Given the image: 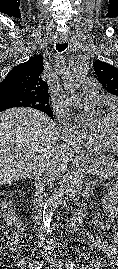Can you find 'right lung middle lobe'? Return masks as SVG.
Wrapping results in <instances>:
<instances>
[{
	"label": "right lung middle lobe",
	"mask_w": 118,
	"mask_h": 269,
	"mask_svg": "<svg viewBox=\"0 0 118 269\" xmlns=\"http://www.w3.org/2000/svg\"><path fill=\"white\" fill-rule=\"evenodd\" d=\"M5 97V100L0 102V112L12 107H31L42 112L51 110L48 103L37 101L28 96L8 94Z\"/></svg>",
	"instance_id": "obj_1"
}]
</instances>
